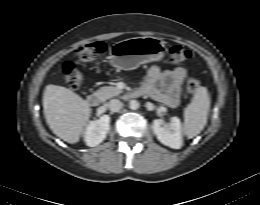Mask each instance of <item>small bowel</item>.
Returning <instances> with one entry per match:
<instances>
[{
    "instance_id": "obj_1",
    "label": "small bowel",
    "mask_w": 260,
    "mask_h": 205,
    "mask_svg": "<svg viewBox=\"0 0 260 205\" xmlns=\"http://www.w3.org/2000/svg\"><path fill=\"white\" fill-rule=\"evenodd\" d=\"M187 70L183 66L162 70L151 66L141 92L154 100L174 108L178 105L181 86L185 81Z\"/></svg>"
}]
</instances>
